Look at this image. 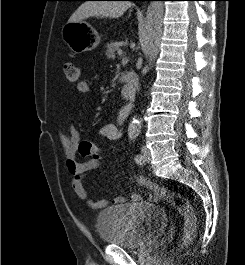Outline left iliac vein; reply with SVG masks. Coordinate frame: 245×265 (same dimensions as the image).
I'll use <instances>...</instances> for the list:
<instances>
[{
    "label": "left iliac vein",
    "instance_id": "1",
    "mask_svg": "<svg viewBox=\"0 0 245 265\" xmlns=\"http://www.w3.org/2000/svg\"><path fill=\"white\" fill-rule=\"evenodd\" d=\"M142 158L143 162H147L150 160V150L145 146L142 147Z\"/></svg>",
    "mask_w": 245,
    "mask_h": 265
}]
</instances>
